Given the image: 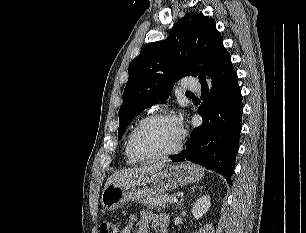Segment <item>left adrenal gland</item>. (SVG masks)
Wrapping results in <instances>:
<instances>
[{
	"label": "left adrenal gland",
	"mask_w": 306,
	"mask_h": 233,
	"mask_svg": "<svg viewBox=\"0 0 306 233\" xmlns=\"http://www.w3.org/2000/svg\"><path fill=\"white\" fill-rule=\"evenodd\" d=\"M191 190L194 192L196 190V188L192 187ZM183 200H184V198L180 199V201L177 203L176 209H178L181 206Z\"/></svg>",
	"instance_id": "left-adrenal-gland-1"
}]
</instances>
